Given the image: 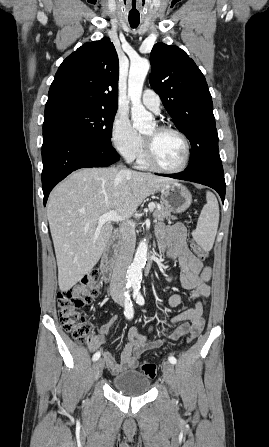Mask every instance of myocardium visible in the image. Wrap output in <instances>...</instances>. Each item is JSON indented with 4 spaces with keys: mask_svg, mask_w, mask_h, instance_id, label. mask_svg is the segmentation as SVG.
<instances>
[{
    "mask_svg": "<svg viewBox=\"0 0 269 447\" xmlns=\"http://www.w3.org/2000/svg\"><path fill=\"white\" fill-rule=\"evenodd\" d=\"M157 128L161 131H168V132L176 133L183 139V141L185 143L184 159L178 167L170 168V167H166V166L162 165L160 162L157 161V159L155 157V153H154L152 144L145 137H143L145 160H146L147 164L149 166H151L152 168H155V169H158V170H161L164 172H170V173L180 172V171L184 170L188 165V162L190 159V153H191V143H190L188 136L184 132L179 130L178 128H175V127H172L169 125L160 124V125H157Z\"/></svg>",
    "mask_w": 269,
    "mask_h": 447,
    "instance_id": "f54148a6",
    "label": "myocardium"
}]
</instances>
